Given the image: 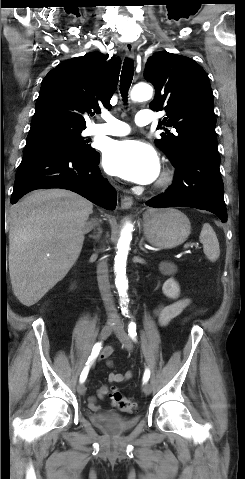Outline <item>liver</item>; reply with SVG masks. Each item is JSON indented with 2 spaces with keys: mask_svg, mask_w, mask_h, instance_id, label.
Segmentation results:
<instances>
[{
  "mask_svg": "<svg viewBox=\"0 0 245 479\" xmlns=\"http://www.w3.org/2000/svg\"><path fill=\"white\" fill-rule=\"evenodd\" d=\"M93 204L64 189L37 190L10 212L9 273L14 295L37 303L77 261Z\"/></svg>",
  "mask_w": 245,
  "mask_h": 479,
  "instance_id": "1",
  "label": "liver"
}]
</instances>
